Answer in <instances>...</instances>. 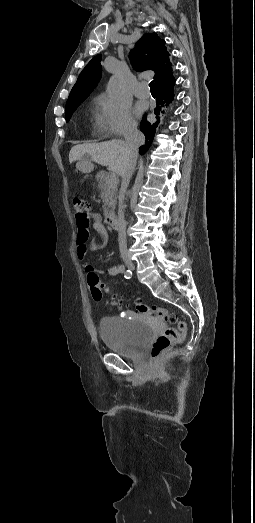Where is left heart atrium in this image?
<instances>
[{
    "label": "left heart atrium",
    "instance_id": "obj_1",
    "mask_svg": "<svg viewBox=\"0 0 255 523\" xmlns=\"http://www.w3.org/2000/svg\"><path fill=\"white\" fill-rule=\"evenodd\" d=\"M136 109H137V112L140 113V112L142 111L141 105L138 104L137 107H136Z\"/></svg>",
    "mask_w": 255,
    "mask_h": 523
}]
</instances>
